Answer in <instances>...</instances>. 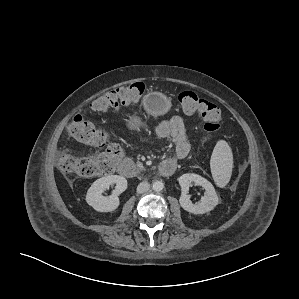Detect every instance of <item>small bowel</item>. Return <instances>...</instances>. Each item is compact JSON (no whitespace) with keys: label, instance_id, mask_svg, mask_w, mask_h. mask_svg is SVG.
I'll return each instance as SVG.
<instances>
[{"label":"small bowel","instance_id":"1","mask_svg":"<svg viewBox=\"0 0 299 299\" xmlns=\"http://www.w3.org/2000/svg\"><path fill=\"white\" fill-rule=\"evenodd\" d=\"M115 111L120 112V107ZM156 133L160 139L171 140L175 144L174 156L168 160L177 162L189 155L190 144L186 139V124L182 117L173 116L169 120L161 122L157 126Z\"/></svg>","mask_w":299,"mask_h":299}]
</instances>
